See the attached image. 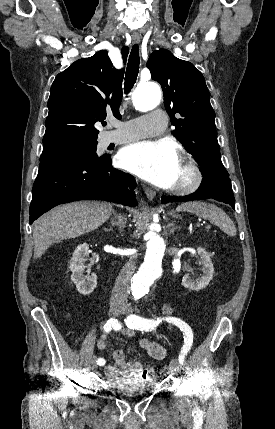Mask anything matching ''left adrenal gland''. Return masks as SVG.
Wrapping results in <instances>:
<instances>
[{"mask_svg": "<svg viewBox=\"0 0 275 429\" xmlns=\"http://www.w3.org/2000/svg\"><path fill=\"white\" fill-rule=\"evenodd\" d=\"M168 227L170 228V233H174V231L178 228L174 224H168Z\"/></svg>", "mask_w": 275, "mask_h": 429, "instance_id": "a2214340", "label": "left adrenal gland"}]
</instances>
